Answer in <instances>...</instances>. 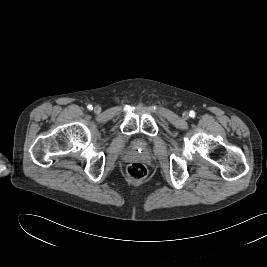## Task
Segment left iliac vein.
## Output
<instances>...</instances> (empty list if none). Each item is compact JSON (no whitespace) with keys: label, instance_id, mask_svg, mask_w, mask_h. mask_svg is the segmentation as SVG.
I'll use <instances>...</instances> for the list:
<instances>
[{"label":"left iliac vein","instance_id":"4c4485c4","mask_svg":"<svg viewBox=\"0 0 267 267\" xmlns=\"http://www.w3.org/2000/svg\"><path fill=\"white\" fill-rule=\"evenodd\" d=\"M188 117H189L188 112H184V113H183V118L187 119Z\"/></svg>","mask_w":267,"mask_h":267}]
</instances>
